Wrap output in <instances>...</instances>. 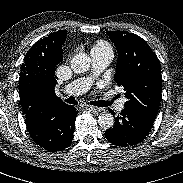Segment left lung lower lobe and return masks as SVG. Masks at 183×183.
I'll use <instances>...</instances> for the list:
<instances>
[{"label":"left lung lower lobe","instance_id":"0a47b994","mask_svg":"<svg viewBox=\"0 0 183 183\" xmlns=\"http://www.w3.org/2000/svg\"><path fill=\"white\" fill-rule=\"evenodd\" d=\"M154 120L131 108H124L115 118L113 128L105 131L107 140L120 147L134 146L149 134Z\"/></svg>","mask_w":183,"mask_h":183}]
</instances>
